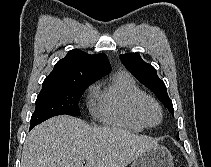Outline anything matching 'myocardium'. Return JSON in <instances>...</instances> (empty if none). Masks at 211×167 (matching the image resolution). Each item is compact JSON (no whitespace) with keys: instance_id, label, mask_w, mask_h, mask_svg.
Listing matches in <instances>:
<instances>
[{"instance_id":"obj_1","label":"myocardium","mask_w":211,"mask_h":167,"mask_svg":"<svg viewBox=\"0 0 211 167\" xmlns=\"http://www.w3.org/2000/svg\"><path fill=\"white\" fill-rule=\"evenodd\" d=\"M152 103L157 109H158V112H159V115H160V118H159V121L157 123H150L146 120L145 116H144V113H143V109H144V106L146 103ZM134 111H135V114L136 116L138 117V119L145 125V126H148V127H156L158 126L162 120H163V110H162V107L160 105V103L151 95H148V94H142L140 95L136 100H135V103H134Z\"/></svg>"}]
</instances>
